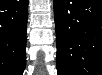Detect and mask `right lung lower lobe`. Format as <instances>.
Returning a JSON list of instances; mask_svg holds the SVG:
<instances>
[{"instance_id":"1","label":"right lung lower lobe","mask_w":102,"mask_h":75,"mask_svg":"<svg viewBox=\"0 0 102 75\" xmlns=\"http://www.w3.org/2000/svg\"><path fill=\"white\" fill-rule=\"evenodd\" d=\"M0 14L1 74L22 75L25 68L28 0H5Z\"/></svg>"}]
</instances>
